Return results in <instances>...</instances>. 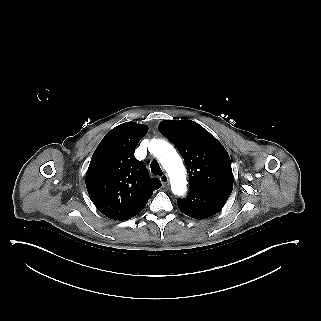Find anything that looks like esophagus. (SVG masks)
I'll return each instance as SVG.
<instances>
[{"label": "esophagus", "mask_w": 321, "mask_h": 321, "mask_svg": "<svg viewBox=\"0 0 321 321\" xmlns=\"http://www.w3.org/2000/svg\"><path fill=\"white\" fill-rule=\"evenodd\" d=\"M160 181L163 185V187H167L168 184H169V177L167 174H163L161 177H160Z\"/></svg>", "instance_id": "esophagus-1"}]
</instances>
